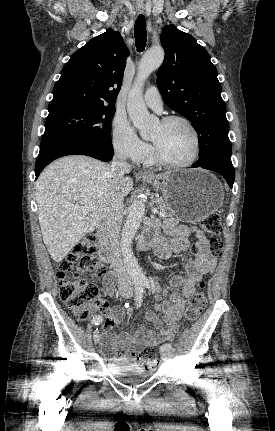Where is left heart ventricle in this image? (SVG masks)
Listing matches in <instances>:
<instances>
[{
    "label": "left heart ventricle",
    "instance_id": "left-heart-ventricle-1",
    "mask_svg": "<svg viewBox=\"0 0 275 431\" xmlns=\"http://www.w3.org/2000/svg\"><path fill=\"white\" fill-rule=\"evenodd\" d=\"M162 158L172 163L187 161L194 151V140L181 122L159 123L149 137Z\"/></svg>",
    "mask_w": 275,
    "mask_h": 431
}]
</instances>
